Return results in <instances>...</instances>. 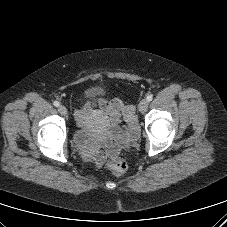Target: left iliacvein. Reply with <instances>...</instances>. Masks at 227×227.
Masks as SVG:
<instances>
[{
    "label": "left iliac vein",
    "instance_id": "obj_1",
    "mask_svg": "<svg viewBox=\"0 0 227 227\" xmlns=\"http://www.w3.org/2000/svg\"><path fill=\"white\" fill-rule=\"evenodd\" d=\"M148 109V101L146 99L141 100L139 103V111L145 113Z\"/></svg>",
    "mask_w": 227,
    "mask_h": 227
}]
</instances>
